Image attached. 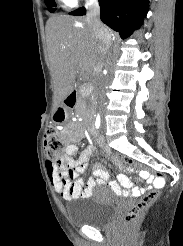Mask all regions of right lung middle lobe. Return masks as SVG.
I'll list each match as a JSON object with an SVG mask.
<instances>
[{"mask_svg": "<svg viewBox=\"0 0 183 246\" xmlns=\"http://www.w3.org/2000/svg\"><path fill=\"white\" fill-rule=\"evenodd\" d=\"M44 1L46 6L49 8V11L54 12L55 11L54 7H56L55 1L54 0H44Z\"/></svg>", "mask_w": 183, "mask_h": 246, "instance_id": "1", "label": "right lung middle lobe"}]
</instances>
